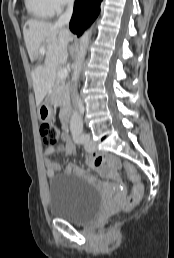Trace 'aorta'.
<instances>
[{
  "instance_id": "obj_1",
  "label": "aorta",
  "mask_w": 174,
  "mask_h": 258,
  "mask_svg": "<svg viewBox=\"0 0 174 258\" xmlns=\"http://www.w3.org/2000/svg\"><path fill=\"white\" fill-rule=\"evenodd\" d=\"M90 37H91V31H85L84 34L80 38V48H79V54L76 59V61L73 63V75H72V81L74 86H76L77 81L80 76L81 68H82V63L84 61L87 48L90 42ZM74 95V93H73ZM70 129L74 131H81L83 129V121L80 113L76 110V108L73 109L72 111V116L70 120Z\"/></svg>"
}]
</instances>
